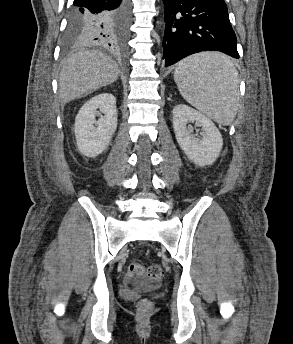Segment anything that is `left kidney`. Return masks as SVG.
Masks as SVG:
<instances>
[{
	"label": "left kidney",
	"instance_id": "left-kidney-1",
	"mask_svg": "<svg viewBox=\"0 0 293 344\" xmlns=\"http://www.w3.org/2000/svg\"><path fill=\"white\" fill-rule=\"evenodd\" d=\"M172 114L176 140L189 160L201 167L213 164L223 146L221 133L215 124L201 112L184 104L175 106ZM189 123L202 128L201 139L192 135L194 128Z\"/></svg>",
	"mask_w": 293,
	"mask_h": 344
}]
</instances>
